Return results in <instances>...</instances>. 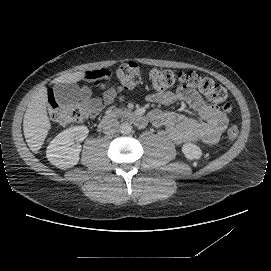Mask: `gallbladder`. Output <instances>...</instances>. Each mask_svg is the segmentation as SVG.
<instances>
[{"mask_svg":"<svg viewBox=\"0 0 271 271\" xmlns=\"http://www.w3.org/2000/svg\"><path fill=\"white\" fill-rule=\"evenodd\" d=\"M53 89L58 93V101L67 108L78 106L82 100V88L80 84L74 80L56 83Z\"/></svg>","mask_w":271,"mask_h":271,"instance_id":"bac80fb5","label":"gallbladder"}]
</instances>
